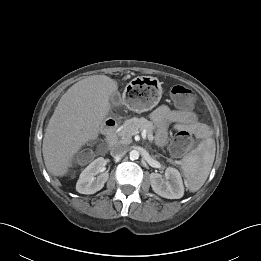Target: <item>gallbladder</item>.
<instances>
[{
	"instance_id": "gallbladder-1",
	"label": "gallbladder",
	"mask_w": 261,
	"mask_h": 261,
	"mask_svg": "<svg viewBox=\"0 0 261 261\" xmlns=\"http://www.w3.org/2000/svg\"><path fill=\"white\" fill-rule=\"evenodd\" d=\"M120 101H121V96L119 93H114L110 97V103L112 106H118L120 104Z\"/></svg>"
}]
</instances>
